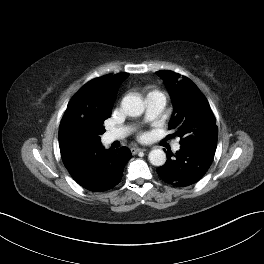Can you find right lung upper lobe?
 <instances>
[{
    "label": "right lung upper lobe",
    "instance_id": "obj_1",
    "mask_svg": "<svg viewBox=\"0 0 264 264\" xmlns=\"http://www.w3.org/2000/svg\"><path fill=\"white\" fill-rule=\"evenodd\" d=\"M128 76L105 75L85 84L68 103L59 128V144L70 142L77 129L111 116L119 86Z\"/></svg>",
    "mask_w": 264,
    "mask_h": 264
}]
</instances>
